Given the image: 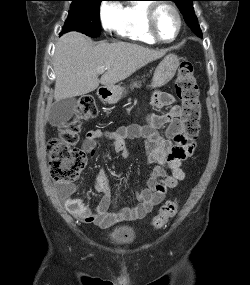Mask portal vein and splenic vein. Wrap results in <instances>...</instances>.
Segmentation results:
<instances>
[{"label":"portal vein and splenic vein","instance_id":"1","mask_svg":"<svg viewBox=\"0 0 250 285\" xmlns=\"http://www.w3.org/2000/svg\"><path fill=\"white\" fill-rule=\"evenodd\" d=\"M105 70H106V69H100V70L98 71V74H102V73H104V72H105Z\"/></svg>","mask_w":250,"mask_h":285}]
</instances>
